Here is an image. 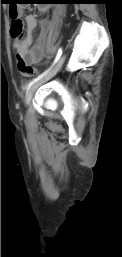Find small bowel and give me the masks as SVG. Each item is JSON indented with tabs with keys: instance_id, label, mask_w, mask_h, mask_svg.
Listing matches in <instances>:
<instances>
[{
	"instance_id": "1",
	"label": "small bowel",
	"mask_w": 122,
	"mask_h": 257,
	"mask_svg": "<svg viewBox=\"0 0 122 257\" xmlns=\"http://www.w3.org/2000/svg\"><path fill=\"white\" fill-rule=\"evenodd\" d=\"M47 7L42 5L39 7L41 13L47 11ZM22 10H19V14ZM26 33L21 38L13 41V47L17 55L30 65L38 64L42 61L46 49L49 45V33L53 27L48 19L38 20L36 16L28 14L25 16ZM39 24L40 33L37 40L33 41V31Z\"/></svg>"
}]
</instances>
